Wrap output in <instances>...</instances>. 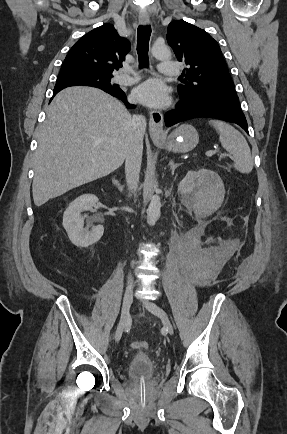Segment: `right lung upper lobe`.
I'll use <instances>...</instances> for the list:
<instances>
[{
    "label": "right lung upper lobe",
    "mask_w": 287,
    "mask_h": 434,
    "mask_svg": "<svg viewBox=\"0 0 287 434\" xmlns=\"http://www.w3.org/2000/svg\"><path fill=\"white\" fill-rule=\"evenodd\" d=\"M129 50L130 42L120 37L113 25L104 24L79 39L66 56L61 70H84L112 75L113 70L122 67V61ZM73 85L86 84L74 81L56 83L54 89Z\"/></svg>",
    "instance_id": "right-lung-upper-lobe-1"
}]
</instances>
